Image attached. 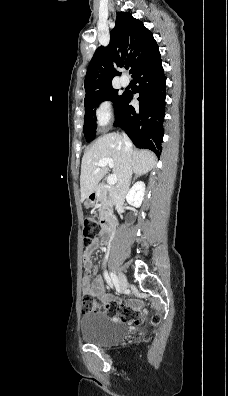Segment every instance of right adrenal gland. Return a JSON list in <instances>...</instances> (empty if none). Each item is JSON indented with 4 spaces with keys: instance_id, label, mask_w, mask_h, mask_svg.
<instances>
[{
    "instance_id": "right-adrenal-gland-1",
    "label": "right adrenal gland",
    "mask_w": 228,
    "mask_h": 396,
    "mask_svg": "<svg viewBox=\"0 0 228 396\" xmlns=\"http://www.w3.org/2000/svg\"><path fill=\"white\" fill-rule=\"evenodd\" d=\"M139 176H140V175H135L134 178H133V180H132V183H133Z\"/></svg>"
}]
</instances>
